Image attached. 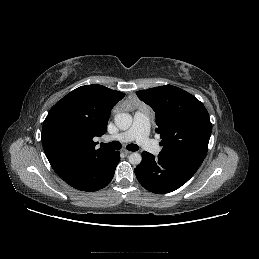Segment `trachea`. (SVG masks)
<instances>
[{"instance_id":"3493384b","label":"trachea","mask_w":259,"mask_h":259,"mask_svg":"<svg viewBox=\"0 0 259 259\" xmlns=\"http://www.w3.org/2000/svg\"><path fill=\"white\" fill-rule=\"evenodd\" d=\"M101 146L108 149L118 150L121 148V143L118 141L109 142L107 144L101 143ZM127 149L129 151H137L139 147L136 144H128Z\"/></svg>"}]
</instances>
